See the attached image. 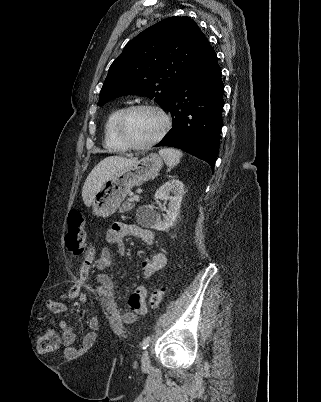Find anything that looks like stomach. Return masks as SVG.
Segmentation results:
<instances>
[{"mask_svg": "<svg viewBox=\"0 0 321 402\" xmlns=\"http://www.w3.org/2000/svg\"><path fill=\"white\" fill-rule=\"evenodd\" d=\"M162 166V157L151 153L118 170L95 192L91 203L94 214L112 215L133 187L157 175Z\"/></svg>", "mask_w": 321, "mask_h": 402, "instance_id": "1", "label": "stomach"}]
</instances>
